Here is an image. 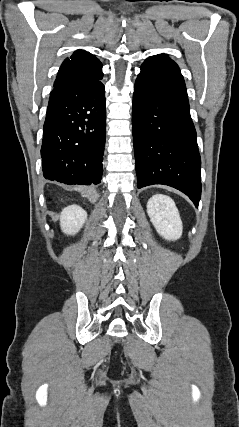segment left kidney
<instances>
[{
    "mask_svg": "<svg viewBox=\"0 0 239 427\" xmlns=\"http://www.w3.org/2000/svg\"><path fill=\"white\" fill-rule=\"evenodd\" d=\"M148 216L157 232L166 240H177L182 235V221L174 201L165 195H153L147 202Z\"/></svg>",
    "mask_w": 239,
    "mask_h": 427,
    "instance_id": "1",
    "label": "left kidney"
}]
</instances>
